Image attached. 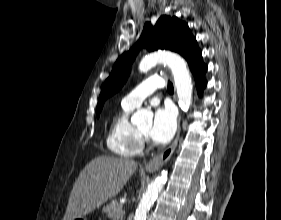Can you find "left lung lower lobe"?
Here are the masks:
<instances>
[{
    "instance_id": "left-lung-lower-lobe-1",
    "label": "left lung lower lobe",
    "mask_w": 281,
    "mask_h": 220,
    "mask_svg": "<svg viewBox=\"0 0 281 220\" xmlns=\"http://www.w3.org/2000/svg\"><path fill=\"white\" fill-rule=\"evenodd\" d=\"M191 71L195 77V84L198 93L201 94L203 89L206 87V81L204 75L207 71V65L202 62V55L198 54L190 62H188Z\"/></svg>"
}]
</instances>
